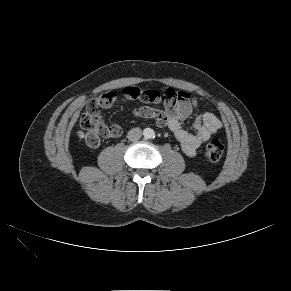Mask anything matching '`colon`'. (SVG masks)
I'll return each mask as SVG.
<instances>
[{"instance_id":"5ec220e1","label":"colon","mask_w":291,"mask_h":291,"mask_svg":"<svg viewBox=\"0 0 291 291\" xmlns=\"http://www.w3.org/2000/svg\"><path fill=\"white\" fill-rule=\"evenodd\" d=\"M153 98H150L152 100ZM121 104L127 101L124 95L118 98ZM98 104L96 100L88 103L86 112L82 115L80 123L85 130V141L90 146H95L99 143L100 136L113 137L120 134L116 128L106 126L101 119L97 117ZM224 153V144L219 139L210 140L205 147V156L211 162H217L221 159Z\"/></svg>"}]
</instances>
